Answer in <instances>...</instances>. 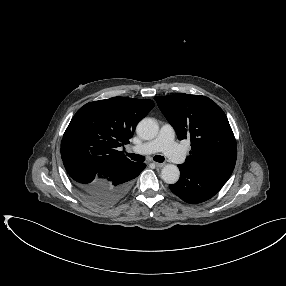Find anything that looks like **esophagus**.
<instances>
[{"instance_id": "34e87169", "label": "esophagus", "mask_w": 286, "mask_h": 286, "mask_svg": "<svg viewBox=\"0 0 286 286\" xmlns=\"http://www.w3.org/2000/svg\"><path fill=\"white\" fill-rule=\"evenodd\" d=\"M156 167H163L164 163L153 162Z\"/></svg>"}]
</instances>
